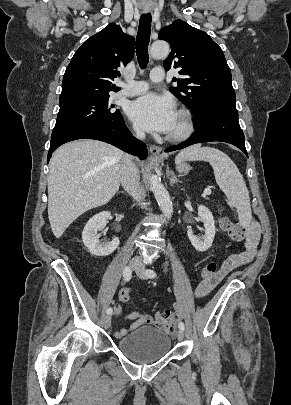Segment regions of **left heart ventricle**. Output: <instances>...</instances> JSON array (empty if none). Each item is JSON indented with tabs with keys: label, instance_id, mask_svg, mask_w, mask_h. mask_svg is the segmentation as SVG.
<instances>
[{
	"label": "left heart ventricle",
	"instance_id": "obj_1",
	"mask_svg": "<svg viewBox=\"0 0 291 405\" xmlns=\"http://www.w3.org/2000/svg\"><path fill=\"white\" fill-rule=\"evenodd\" d=\"M181 123L182 122H181L180 117L178 115H176V120H175L174 126H173L172 130L170 131V133L178 131L181 128Z\"/></svg>",
	"mask_w": 291,
	"mask_h": 405
}]
</instances>
